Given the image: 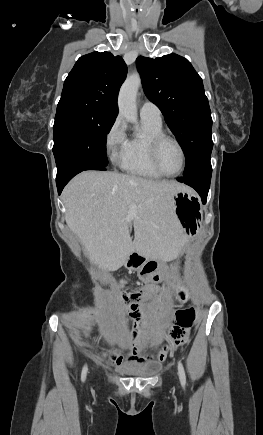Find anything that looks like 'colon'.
<instances>
[{"label":"colon","instance_id":"1","mask_svg":"<svg viewBox=\"0 0 263 435\" xmlns=\"http://www.w3.org/2000/svg\"><path fill=\"white\" fill-rule=\"evenodd\" d=\"M152 294L153 290H148L145 292L121 294L120 298L125 302H140V299L143 296H151ZM196 318L197 311L195 308L179 311L176 314L177 327L169 340L167 338H162L161 340H157V343H155V340H152V342L150 340H146L143 343H138L137 341H135V339H138V336H135L136 330H127V335L125 337L126 340H124V343L128 344V348L130 350H137L138 348H143L144 350H151L152 348H154V343L155 348H163V345H167L168 341H176L178 344H180L187 339L189 330L195 323ZM138 334L141 337H144L146 335V339H151V334H147V331L144 328H141L138 331ZM109 348H114V343H109Z\"/></svg>","mask_w":263,"mask_h":435}]
</instances>
